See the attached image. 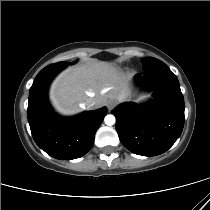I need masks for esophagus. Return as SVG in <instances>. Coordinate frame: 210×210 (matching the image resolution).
Wrapping results in <instances>:
<instances>
[{
  "instance_id": "1",
  "label": "esophagus",
  "mask_w": 210,
  "mask_h": 210,
  "mask_svg": "<svg viewBox=\"0 0 210 210\" xmlns=\"http://www.w3.org/2000/svg\"><path fill=\"white\" fill-rule=\"evenodd\" d=\"M115 106H116V101H114V100H109V101L107 102V107H108L109 110H112Z\"/></svg>"
}]
</instances>
